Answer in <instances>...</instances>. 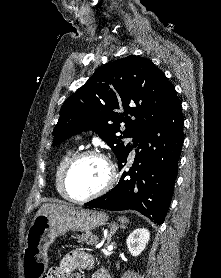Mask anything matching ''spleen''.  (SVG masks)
Segmentation results:
<instances>
[{"instance_id":"spleen-1","label":"spleen","mask_w":221,"mask_h":278,"mask_svg":"<svg viewBox=\"0 0 221 278\" xmlns=\"http://www.w3.org/2000/svg\"><path fill=\"white\" fill-rule=\"evenodd\" d=\"M118 221L121 222L122 224L128 223V219L126 217H118Z\"/></svg>"}]
</instances>
